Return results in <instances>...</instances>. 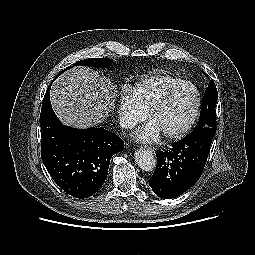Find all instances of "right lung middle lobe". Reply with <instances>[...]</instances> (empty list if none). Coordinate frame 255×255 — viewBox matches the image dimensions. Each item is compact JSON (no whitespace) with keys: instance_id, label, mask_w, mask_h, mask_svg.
Returning <instances> with one entry per match:
<instances>
[{"instance_id":"right-lung-middle-lobe-1","label":"right lung middle lobe","mask_w":255,"mask_h":255,"mask_svg":"<svg viewBox=\"0 0 255 255\" xmlns=\"http://www.w3.org/2000/svg\"><path fill=\"white\" fill-rule=\"evenodd\" d=\"M112 64V61L108 58H88L81 61H78L74 64V66H89V67H96V68H104L109 67ZM72 68V66L68 67L67 69ZM67 69L63 70L62 72L66 71ZM60 72L56 78L62 73Z\"/></svg>"}]
</instances>
